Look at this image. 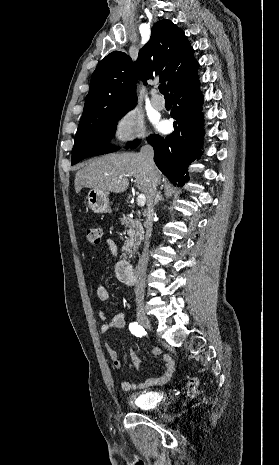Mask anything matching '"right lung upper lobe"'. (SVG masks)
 <instances>
[{
	"mask_svg": "<svg viewBox=\"0 0 279 465\" xmlns=\"http://www.w3.org/2000/svg\"><path fill=\"white\" fill-rule=\"evenodd\" d=\"M198 66L184 32L169 20L158 21L135 63L126 53L114 51L97 65L79 125L92 122L105 110L132 109L139 78L145 82L159 75L172 93L196 75Z\"/></svg>",
	"mask_w": 279,
	"mask_h": 465,
	"instance_id": "cb5924a9",
	"label": "right lung upper lobe"
}]
</instances>
